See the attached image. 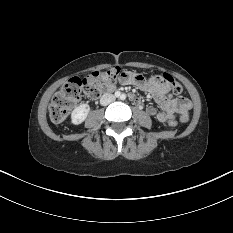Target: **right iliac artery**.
Returning <instances> with one entry per match:
<instances>
[{
  "label": "right iliac artery",
  "instance_id": "obj_1",
  "mask_svg": "<svg viewBox=\"0 0 233 233\" xmlns=\"http://www.w3.org/2000/svg\"><path fill=\"white\" fill-rule=\"evenodd\" d=\"M115 96H116V97H119V96H120V92H116V93H115Z\"/></svg>",
  "mask_w": 233,
  "mask_h": 233
}]
</instances>
